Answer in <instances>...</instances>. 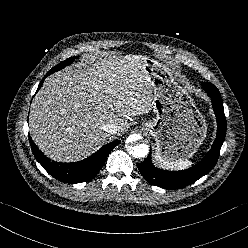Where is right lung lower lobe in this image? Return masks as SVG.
<instances>
[{
	"mask_svg": "<svg viewBox=\"0 0 248 248\" xmlns=\"http://www.w3.org/2000/svg\"><path fill=\"white\" fill-rule=\"evenodd\" d=\"M54 72L50 70L44 78ZM43 81L44 79L40 82L37 91L41 88ZM29 142L35 158L50 175L62 182L75 184L93 179L104 165L110 152L120 141L115 140L104 145L95 154L74 163H57L51 161L39 151L31 137H29Z\"/></svg>",
	"mask_w": 248,
	"mask_h": 248,
	"instance_id": "obj_1",
	"label": "right lung lower lobe"
}]
</instances>
